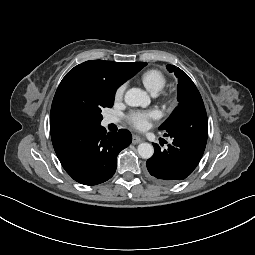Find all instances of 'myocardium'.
I'll return each instance as SVG.
<instances>
[{
  "instance_id": "f54148a6",
  "label": "myocardium",
  "mask_w": 255,
  "mask_h": 255,
  "mask_svg": "<svg viewBox=\"0 0 255 255\" xmlns=\"http://www.w3.org/2000/svg\"><path fill=\"white\" fill-rule=\"evenodd\" d=\"M161 95H162L163 98H166V99L168 98V94L166 92H162Z\"/></svg>"
}]
</instances>
